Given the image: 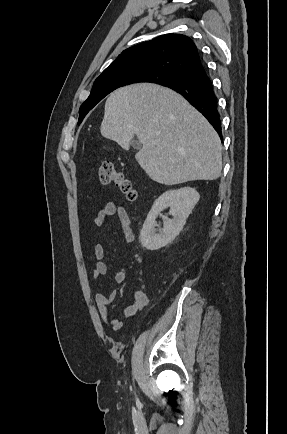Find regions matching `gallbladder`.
<instances>
[{
	"mask_svg": "<svg viewBox=\"0 0 287 434\" xmlns=\"http://www.w3.org/2000/svg\"><path fill=\"white\" fill-rule=\"evenodd\" d=\"M131 145L133 146V148L135 149H140L141 148V144L135 140L131 141Z\"/></svg>",
	"mask_w": 287,
	"mask_h": 434,
	"instance_id": "obj_1",
	"label": "gallbladder"
}]
</instances>
